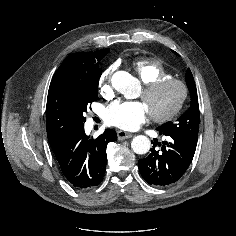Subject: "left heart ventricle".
Returning a JSON list of instances; mask_svg holds the SVG:
<instances>
[{
  "instance_id": "b2bd125f",
  "label": "left heart ventricle",
  "mask_w": 236,
  "mask_h": 236,
  "mask_svg": "<svg viewBox=\"0 0 236 236\" xmlns=\"http://www.w3.org/2000/svg\"><path fill=\"white\" fill-rule=\"evenodd\" d=\"M143 93H141V97ZM180 89L176 85H168L154 94L143 98L148 112L163 114L167 112L178 100Z\"/></svg>"
}]
</instances>
